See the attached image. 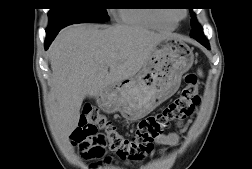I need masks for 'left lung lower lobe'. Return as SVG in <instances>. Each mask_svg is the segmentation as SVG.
<instances>
[{
	"label": "left lung lower lobe",
	"mask_w": 252,
	"mask_h": 169,
	"mask_svg": "<svg viewBox=\"0 0 252 169\" xmlns=\"http://www.w3.org/2000/svg\"><path fill=\"white\" fill-rule=\"evenodd\" d=\"M190 36L192 38L196 39L198 42H200L206 48L210 49L209 43H208L207 39L205 38L203 31H197L195 34H190Z\"/></svg>",
	"instance_id": "0a47b994"
}]
</instances>
